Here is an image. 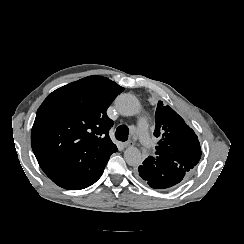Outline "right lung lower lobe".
Segmentation results:
<instances>
[{
    "instance_id": "right-lung-lower-lobe-1",
    "label": "right lung lower lobe",
    "mask_w": 244,
    "mask_h": 244,
    "mask_svg": "<svg viewBox=\"0 0 244 244\" xmlns=\"http://www.w3.org/2000/svg\"><path fill=\"white\" fill-rule=\"evenodd\" d=\"M116 151L117 148L101 159L88 160L81 166L68 173L51 178V180L65 189L79 190L86 188L100 178L110 155Z\"/></svg>"
}]
</instances>
